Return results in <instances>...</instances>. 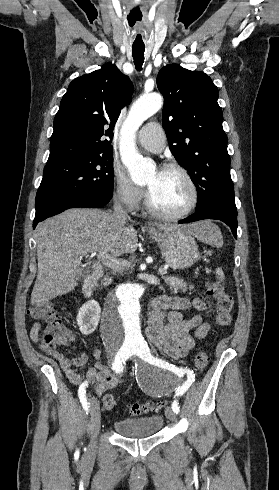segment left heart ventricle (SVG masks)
<instances>
[{
    "mask_svg": "<svg viewBox=\"0 0 279 490\" xmlns=\"http://www.w3.org/2000/svg\"><path fill=\"white\" fill-rule=\"evenodd\" d=\"M147 183L153 203L162 211L178 212L190 200L191 193L188 184L177 172L164 170L154 172Z\"/></svg>",
    "mask_w": 279,
    "mask_h": 490,
    "instance_id": "b2bd125f",
    "label": "left heart ventricle"
}]
</instances>
